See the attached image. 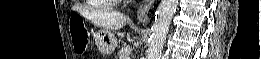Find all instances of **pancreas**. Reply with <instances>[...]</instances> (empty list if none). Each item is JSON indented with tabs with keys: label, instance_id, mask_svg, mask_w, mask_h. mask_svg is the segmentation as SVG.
Instances as JSON below:
<instances>
[{
	"label": "pancreas",
	"instance_id": "pancreas-1",
	"mask_svg": "<svg viewBox=\"0 0 261 59\" xmlns=\"http://www.w3.org/2000/svg\"><path fill=\"white\" fill-rule=\"evenodd\" d=\"M132 52L131 46H124L119 52L117 53L118 59H126Z\"/></svg>",
	"mask_w": 261,
	"mask_h": 59
}]
</instances>
